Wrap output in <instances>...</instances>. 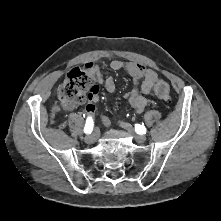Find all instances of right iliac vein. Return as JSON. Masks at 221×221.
Instances as JSON below:
<instances>
[{
  "instance_id": "63e3f726",
  "label": "right iliac vein",
  "mask_w": 221,
  "mask_h": 221,
  "mask_svg": "<svg viewBox=\"0 0 221 221\" xmlns=\"http://www.w3.org/2000/svg\"><path fill=\"white\" fill-rule=\"evenodd\" d=\"M97 140V132H93L91 135L85 137V142L87 144H92Z\"/></svg>"
}]
</instances>
